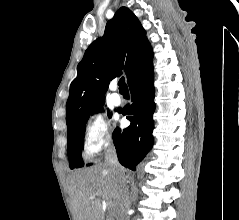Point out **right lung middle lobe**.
Here are the masks:
<instances>
[{"mask_svg":"<svg viewBox=\"0 0 239 220\" xmlns=\"http://www.w3.org/2000/svg\"><path fill=\"white\" fill-rule=\"evenodd\" d=\"M98 110L102 112L103 108H98L79 117L68 127L67 155L71 169L84 166L81 150L84 147L85 124L88 120L89 115L93 114L94 112H98ZM108 115L110 116L109 112Z\"/></svg>","mask_w":239,"mask_h":220,"instance_id":"right-lung-middle-lobe-1","label":"right lung middle lobe"}]
</instances>
